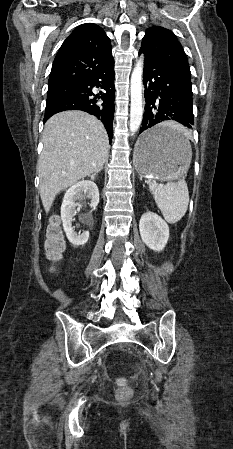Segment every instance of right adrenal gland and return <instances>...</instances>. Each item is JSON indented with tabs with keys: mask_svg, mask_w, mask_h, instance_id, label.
Instances as JSON below:
<instances>
[{
	"mask_svg": "<svg viewBox=\"0 0 233 449\" xmlns=\"http://www.w3.org/2000/svg\"><path fill=\"white\" fill-rule=\"evenodd\" d=\"M102 169H103V168H102ZM97 174H98V172H94V173L90 176V178H91L92 180H94Z\"/></svg>",
	"mask_w": 233,
	"mask_h": 449,
	"instance_id": "2a0ac1e0",
	"label": "right adrenal gland"
}]
</instances>
